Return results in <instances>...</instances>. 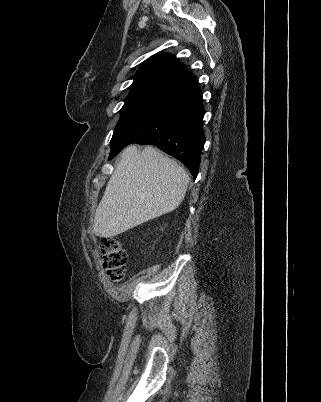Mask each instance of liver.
<instances>
[{
    "mask_svg": "<svg viewBox=\"0 0 321 402\" xmlns=\"http://www.w3.org/2000/svg\"><path fill=\"white\" fill-rule=\"evenodd\" d=\"M186 171L152 146L127 147L94 217L93 233L110 238L175 210L189 184Z\"/></svg>",
    "mask_w": 321,
    "mask_h": 402,
    "instance_id": "6515ba94",
    "label": "liver"
}]
</instances>
